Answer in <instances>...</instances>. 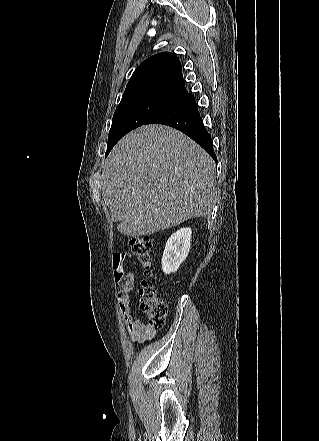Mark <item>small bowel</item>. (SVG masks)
<instances>
[{
	"label": "small bowel",
	"mask_w": 319,
	"mask_h": 441,
	"mask_svg": "<svg viewBox=\"0 0 319 441\" xmlns=\"http://www.w3.org/2000/svg\"><path fill=\"white\" fill-rule=\"evenodd\" d=\"M127 253L115 252L113 254V263L123 266ZM123 288L118 289V303L122 313L123 321L130 336L138 341H146L152 339L157 329L149 325L141 323L132 309L129 292L134 288L135 276L132 271H124Z\"/></svg>",
	"instance_id": "small-bowel-1"
}]
</instances>
